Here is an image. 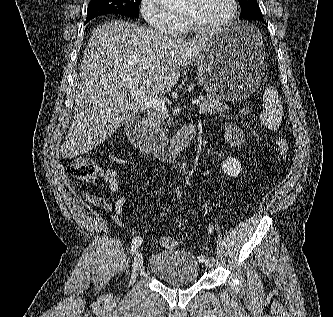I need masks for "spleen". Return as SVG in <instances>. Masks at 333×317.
I'll list each match as a JSON object with an SVG mask.
<instances>
[{
	"instance_id": "spleen-1",
	"label": "spleen",
	"mask_w": 333,
	"mask_h": 317,
	"mask_svg": "<svg viewBox=\"0 0 333 317\" xmlns=\"http://www.w3.org/2000/svg\"><path fill=\"white\" fill-rule=\"evenodd\" d=\"M265 110L260 115L261 123L271 130H277L282 121V104L278 91L274 87H267L263 95Z\"/></svg>"
}]
</instances>
